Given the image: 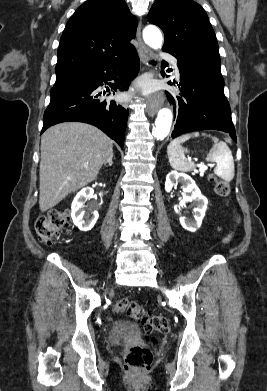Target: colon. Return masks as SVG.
Returning <instances> with one entry per match:
<instances>
[{
    "mask_svg": "<svg viewBox=\"0 0 267 391\" xmlns=\"http://www.w3.org/2000/svg\"><path fill=\"white\" fill-rule=\"evenodd\" d=\"M215 184V190L220 196H227L230 193V185L215 176L211 177ZM70 215L66 210L53 209L46 215L37 218L35 229L39 239L45 243H52L59 238L61 231L68 228ZM116 313H129L139 322L145 333L147 344L134 345L127 349L124 356V368L130 373H143L149 370L153 354L150 344L155 339L151 335L155 332L166 334L170 330L169 321L166 317L158 314L148 313L135 301L123 298L114 305Z\"/></svg>",
    "mask_w": 267,
    "mask_h": 391,
    "instance_id": "obj_1",
    "label": "colon"
}]
</instances>
